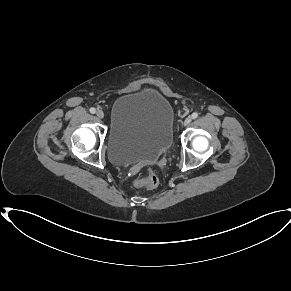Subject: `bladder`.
I'll return each instance as SVG.
<instances>
[{
	"mask_svg": "<svg viewBox=\"0 0 291 291\" xmlns=\"http://www.w3.org/2000/svg\"><path fill=\"white\" fill-rule=\"evenodd\" d=\"M173 108L159 92L142 88L112 103L107 139L108 157L116 166L150 161L173 142Z\"/></svg>",
	"mask_w": 291,
	"mask_h": 291,
	"instance_id": "obj_1",
	"label": "bladder"
}]
</instances>
